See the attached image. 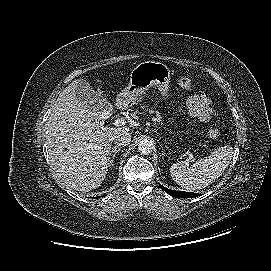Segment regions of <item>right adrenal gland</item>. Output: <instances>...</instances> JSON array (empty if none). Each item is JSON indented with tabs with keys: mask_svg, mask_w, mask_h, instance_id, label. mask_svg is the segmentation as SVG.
<instances>
[{
	"mask_svg": "<svg viewBox=\"0 0 271 271\" xmlns=\"http://www.w3.org/2000/svg\"><path fill=\"white\" fill-rule=\"evenodd\" d=\"M123 147H119V146H115L114 148H112L108 154V163L111 165L114 161V158L116 156V154H118ZM112 156V157H111Z\"/></svg>",
	"mask_w": 271,
	"mask_h": 271,
	"instance_id": "2a0ac1e0",
	"label": "right adrenal gland"
}]
</instances>
